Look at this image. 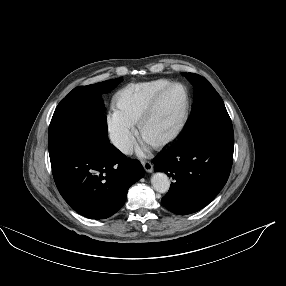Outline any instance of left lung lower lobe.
<instances>
[{
    "label": "left lung lower lobe",
    "mask_w": 286,
    "mask_h": 286,
    "mask_svg": "<svg viewBox=\"0 0 286 286\" xmlns=\"http://www.w3.org/2000/svg\"><path fill=\"white\" fill-rule=\"evenodd\" d=\"M233 148L234 138H203L187 145L176 143L155 157L154 170L175 179L163 205L179 215L208 205L227 182Z\"/></svg>",
    "instance_id": "1"
}]
</instances>
